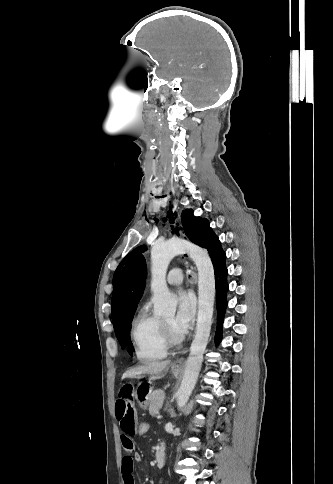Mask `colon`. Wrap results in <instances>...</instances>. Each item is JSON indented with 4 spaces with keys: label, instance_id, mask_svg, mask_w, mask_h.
<instances>
[{
    "label": "colon",
    "instance_id": "obj_1",
    "mask_svg": "<svg viewBox=\"0 0 333 484\" xmlns=\"http://www.w3.org/2000/svg\"><path fill=\"white\" fill-rule=\"evenodd\" d=\"M150 424L147 421L141 420L137 423L136 426V435L139 437L146 436L150 431Z\"/></svg>",
    "mask_w": 333,
    "mask_h": 484
}]
</instances>
